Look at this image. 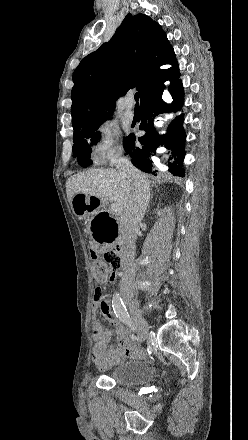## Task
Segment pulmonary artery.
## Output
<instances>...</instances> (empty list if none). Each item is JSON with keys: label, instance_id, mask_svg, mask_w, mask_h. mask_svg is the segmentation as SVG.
I'll return each instance as SVG.
<instances>
[{"label": "pulmonary artery", "instance_id": "1", "mask_svg": "<svg viewBox=\"0 0 248 440\" xmlns=\"http://www.w3.org/2000/svg\"><path fill=\"white\" fill-rule=\"evenodd\" d=\"M124 117L131 121L134 118V111H133V98L131 96L127 97L125 100V112Z\"/></svg>", "mask_w": 248, "mask_h": 440}]
</instances>
